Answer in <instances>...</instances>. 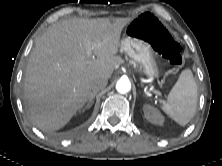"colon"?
Segmentation results:
<instances>
[{
  "label": "colon",
  "instance_id": "1",
  "mask_svg": "<svg viewBox=\"0 0 222 166\" xmlns=\"http://www.w3.org/2000/svg\"><path fill=\"white\" fill-rule=\"evenodd\" d=\"M128 34L136 39L143 40L166 58L173 66L182 63L180 45L172 37L164 24L150 13L139 15L128 27Z\"/></svg>",
  "mask_w": 222,
  "mask_h": 166
}]
</instances>
